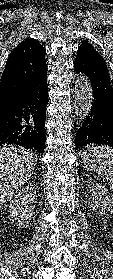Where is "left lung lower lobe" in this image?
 Returning <instances> with one entry per match:
<instances>
[{
	"label": "left lung lower lobe",
	"mask_w": 113,
	"mask_h": 279,
	"mask_svg": "<svg viewBox=\"0 0 113 279\" xmlns=\"http://www.w3.org/2000/svg\"><path fill=\"white\" fill-rule=\"evenodd\" d=\"M74 67L89 78L94 96L91 110L77 131L75 150L92 144L113 147V87L107 66L77 52Z\"/></svg>",
	"instance_id": "left-lung-lower-lobe-1"
}]
</instances>
